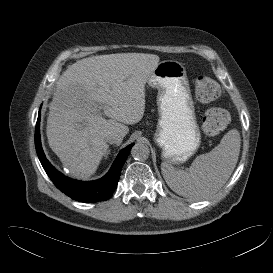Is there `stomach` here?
<instances>
[{
    "label": "stomach",
    "mask_w": 273,
    "mask_h": 273,
    "mask_svg": "<svg viewBox=\"0 0 273 273\" xmlns=\"http://www.w3.org/2000/svg\"><path fill=\"white\" fill-rule=\"evenodd\" d=\"M147 82L158 90L154 140L161 148V157L167 163H184L201 143L186 69L176 60H165L158 63Z\"/></svg>",
    "instance_id": "1"
}]
</instances>
